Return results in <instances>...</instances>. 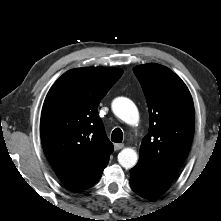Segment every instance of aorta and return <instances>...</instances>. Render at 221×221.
<instances>
[{"instance_id":"1","label":"aorta","mask_w":221,"mask_h":221,"mask_svg":"<svg viewBox=\"0 0 221 221\" xmlns=\"http://www.w3.org/2000/svg\"><path fill=\"white\" fill-rule=\"evenodd\" d=\"M114 114L129 125H135L139 121V113L136 105L128 98L118 97L112 102ZM138 155L132 148H124L118 154L119 164L126 169L134 167Z\"/></svg>"}]
</instances>
